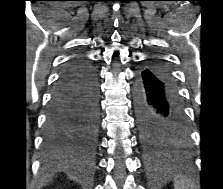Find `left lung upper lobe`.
I'll list each match as a JSON object with an SVG mask.
<instances>
[{
	"mask_svg": "<svg viewBox=\"0 0 223 189\" xmlns=\"http://www.w3.org/2000/svg\"><path fill=\"white\" fill-rule=\"evenodd\" d=\"M144 146L150 152H163L172 148H178L185 144L186 140L172 135L165 127L139 126Z\"/></svg>",
	"mask_w": 223,
	"mask_h": 189,
	"instance_id": "1",
	"label": "left lung upper lobe"
}]
</instances>
